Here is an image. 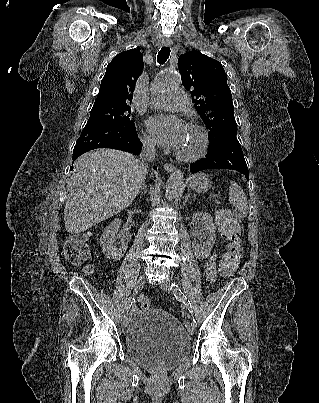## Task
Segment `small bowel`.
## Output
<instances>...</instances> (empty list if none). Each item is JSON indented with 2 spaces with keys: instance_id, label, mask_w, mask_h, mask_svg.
<instances>
[{
  "instance_id": "small-bowel-1",
  "label": "small bowel",
  "mask_w": 319,
  "mask_h": 403,
  "mask_svg": "<svg viewBox=\"0 0 319 403\" xmlns=\"http://www.w3.org/2000/svg\"><path fill=\"white\" fill-rule=\"evenodd\" d=\"M216 260H217V253L212 254L207 258L204 264V270L206 273V276L209 281L213 282L216 280L217 276V266H216ZM231 274H227L225 276H228Z\"/></svg>"
}]
</instances>
